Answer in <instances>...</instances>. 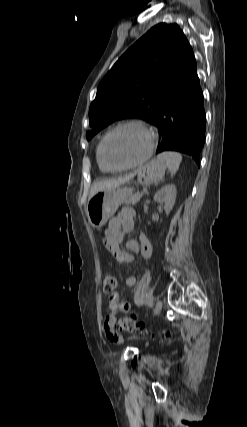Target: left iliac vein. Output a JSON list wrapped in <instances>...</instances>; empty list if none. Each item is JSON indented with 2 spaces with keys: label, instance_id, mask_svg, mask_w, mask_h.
I'll use <instances>...</instances> for the list:
<instances>
[{
  "label": "left iliac vein",
  "instance_id": "1",
  "mask_svg": "<svg viewBox=\"0 0 247 427\" xmlns=\"http://www.w3.org/2000/svg\"><path fill=\"white\" fill-rule=\"evenodd\" d=\"M162 301L161 300H158L157 302H156V304H155V307H154V315H158L159 313H160V311H161V309H162Z\"/></svg>",
  "mask_w": 247,
  "mask_h": 427
}]
</instances>
